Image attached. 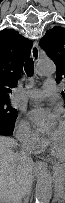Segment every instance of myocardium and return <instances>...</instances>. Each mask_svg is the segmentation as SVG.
Here are the masks:
<instances>
[{"label": "myocardium", "mask_w": 65, "mask_h": 203, "mask_svg": "<svg viewBox=\"0 0 65 203\" xmlns=\"http://www.w3.org/2000/svg\"><path fill=\"white\" fill-rule=\"evenodd\" d=\"M48 148L52 156L56 158H64L65 157V152L64 153H59L55 150V148L52 146L51 141H48Z\"/></svg>", "instance_id": "f54148a6"}]
</instances>
